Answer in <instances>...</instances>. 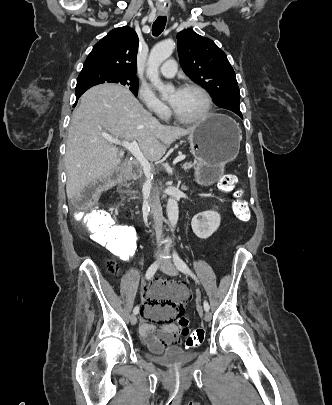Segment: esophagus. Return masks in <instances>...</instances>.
Listing matches in <instances>:
<instances>
[{"label":"esophagus","instance_id":"obj_1","mask_svg":"<svg viewBox=\"0 0 332 405\" xmlns=\"http://www.w3.org/2000/svg\"><path fill=\"white\" fill-rule=\"evenodd\" d=\"M159 13H160V15H166V14H167V10H160Z\"/></svg>","mask_w":332,"mask_h":405}]
</instances>
